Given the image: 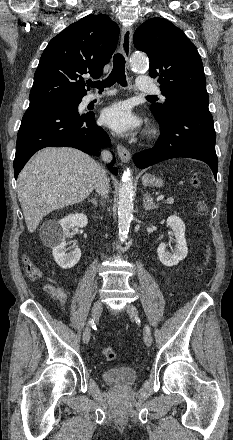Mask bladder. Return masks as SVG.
<instances>
[{
  "label": "bladder",
  "instance_id": "bladder-1",
  "mask_svg": "<svg viewBox=\"0 0 233 440\" xmlns=\"http://www.w3.org/2000/svg\"><path fill=\"white\" fill-rule=\"evenodd\" d=\"M102 379L117 388L132 386L137 379V371L131 367H117L102 372Z\"/></svg>",
  "mask_w": 233,
  "mask_h": 440
}]
</instances>
